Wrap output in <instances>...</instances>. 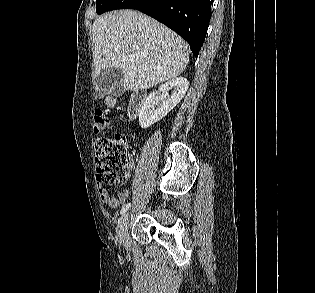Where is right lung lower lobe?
<instances>
[{"label": "right lung lower lobe", "mask_w": 315, "mask_h": 293, "mask_svg": "<svg viewBox=\"0 0 315 293\" xmlns=\"http://www.w3.org/2000/svg\"><path fill=\"white\" fill-rule=\"evenodd\" d=\"M212 0H117L107 11L136 9L162 22L183 39L195 55L205 40Z\"/></svg>", "instance_id": "obj_1"}]
</instances>
